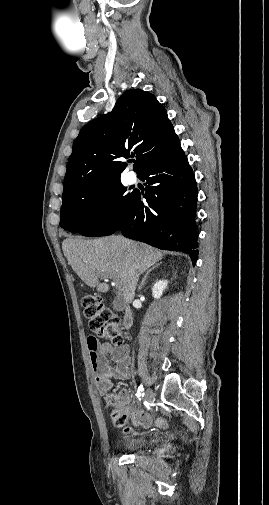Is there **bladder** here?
Returning <instances> with one entry per match:
<instances>
[{
    "instance_id": "bladder-1",
    "label": "bladder",
    "mask_w": 269,
    "mask_h": 505,
    "mask_svg": "<svg viewBox=\"0 0 269 505\" xmlns=\"http://www.w3.org/2000/svg\"><path fill=\"white\" fill-rule=\"evenodd\" d=\"M148 443L149 440L146 438H136L124 443L123 448L129 452H135L147 446Z\"/></svg>"
}]
</instances>
